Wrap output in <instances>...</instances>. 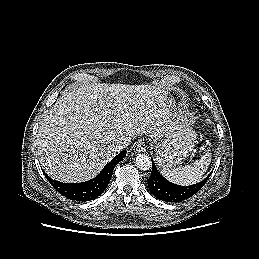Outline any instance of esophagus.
Returning <instances> with one entry per match:
<instances>
[{"instance_id":"34e87169","label":"esophagus","mask_w":259,"mask_h":259,"mask_svg":"<svg viewBox=\"0 0 259 259\" xmlns=\"http://www.w3.org/2000/svg\"><path fill=\"white\" fill-rule=\"evenodd\" d=\"M145 142L143 140H138L133 145V150L135 153H140L145 151Z\"/></svg>"}]
</instances>
